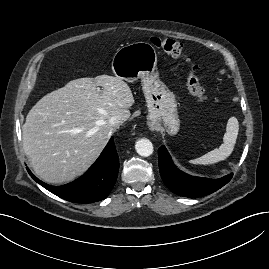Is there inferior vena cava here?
<instances>
[{
  "instance_id": "inferior-vena-cava-1",
  "label": "inferior vena cava",
  "mask_w": 269,
  "mask_h": 269,
  "mask_svg": "<svg viewBox=\"0 0 269 269\" xmlns=\"http://www.w3.org/2000/svg\"><path fill=\"white\" fill-rule=\"evenodd\" d=\"M123 123V119L121 116H112L109 119V124L115 129L117 128L119 125H121Z\"/></svg>"
}]
</instances>
